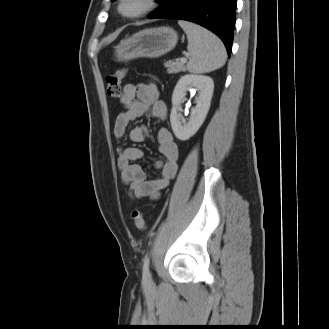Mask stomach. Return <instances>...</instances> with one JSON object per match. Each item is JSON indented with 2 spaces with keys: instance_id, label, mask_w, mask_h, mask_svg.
I'll return each instance as SVG.
<instances>
[{
  "instance_id": "obj_1",
  "label": "stomach",
  "mask_w": 329,
  "mask_h": 329,
  "mask_svg": "<svg viewBox=\"0 0 329 329\" xmlns=\"http://www.w3.org/2000/svg\"><path fill=\"white\" fill-rule=\"evenodd\" d=\"M178 34L170 27L150 28L139 31L115 46L118 61L139 57L156 58L170 52L177 44Z\"/></svg>"
}]
</instances>
